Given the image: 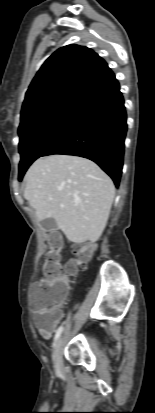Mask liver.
Listing matches in <instances>:
<instances>
[{
  "mask_svg": "<svg viewBox=\"0 0 155 413\" xmlns=\"http://www.w3.org/2000/svg\"><path fill=\"white\" fill-rule=\"evenodd\" d=\"M24 198L39 221L53 218L68 240L96 242L115 196L111 178L91 160L56 154L37 159L25 176Z\"/></svg>",
  "mask_w": 155,
  "mask_h": 413,
  "instance_id": "6515ba94",
  "label": "liver"
}]
</instances>
